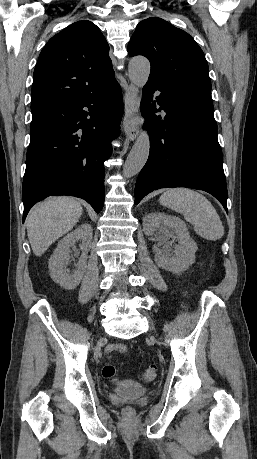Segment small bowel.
I'll return each instance as SVG.
<instances>
[{
  "label": "small bowel",
  "mask_w": 257,
  "mask_h": 459,
  "mask_svg": "<svg viewBox=\"0 0 257 459\" xmlns=\"http://www.w3.org/2000/svg\"><path fill=\"white\" fill-rule=\"evenodd\" d=\"M110 350H117L119 352H125L126 347L122 344H114L109 347Z\"/></svg>",
  "instance_id": "small-bowel-1"
}]
</instances>
